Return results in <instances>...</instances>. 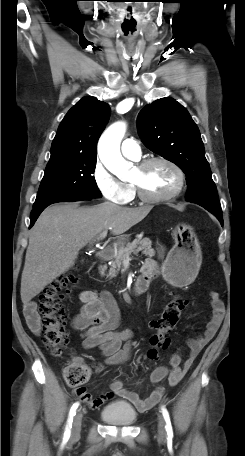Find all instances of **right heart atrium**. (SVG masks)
<instances>
[{
	"mask_svg": "<svg viewBox=\"0 0 245 456\" xmlns=\"http://www.w3.org/2000/svg\"><path fill=\"white\" fill-rule=\"evenodd\" d=\"M94 184L100 194L108 201L125 204L130 191L126 184L118 180L100 160H96L91 172Z\"/></svg>",
	"mask_w": 245,
	"mask_h": 456,
	"instance_id": "right-heart-atrium-1",
	"label": "right heart atrium"
}]
</instances>
